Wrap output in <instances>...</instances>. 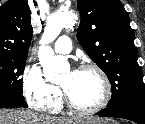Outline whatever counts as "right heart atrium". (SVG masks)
Listing matches in <instances>:
<instances>
[{"label":"right heart atrium","instance_id":"1","mask_svg":"<svg viewBox=\"0 0 145 124\" xmlns=\"http://www.w3.org/2000/svg\"><path fill=\"white\" fill-rule=\"evenodd\" d=\"M22 86L25 98L37 110L46 112L59 110L61 91L44 78L37 66L28 65L24 69Z\"/></svg>","mask_w":145,"mask_h":124}]
</instances>
